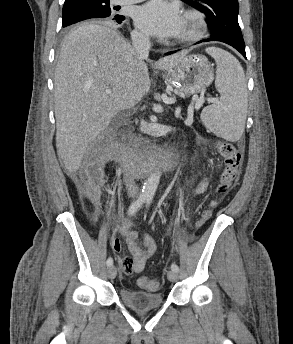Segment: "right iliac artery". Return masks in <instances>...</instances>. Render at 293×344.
Here are the masks:
<instances>
[{
    "label": "right iliac artery",
    "mask_w": 293,
    "mask_h": 344,
    "mask_svg": "<svg viewBox=\"0 0 293 344\" xmlns=\"http://www.w3.org/2000/svg\"><path fill=\"white\" fill-rule=\"evenodd\" d=\"M147 198V196L140 195L138 199L130 205L128 209V215H134L137 212V210L145 203ZM106 264L107 266L113 265V259L109 257L106 261Z\"/></svg>",
    "instance_id": "1"
}]
</instances>
